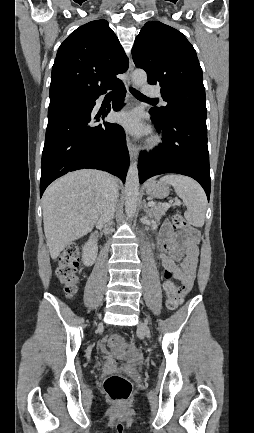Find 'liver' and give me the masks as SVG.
<instances>
[{
    "instance_id": "obj_1",
    "label": "liver",
    "mask_w": 254,
    "mask_h": 433,
    "mask_svg": "<svg viewBox=\"0 0 254 433\" xmlns=\"http://www.w3.org/2000/svg\"><path fill=\"white\" fill-rule=\"evenodd\" d=\"M106 193V174L91 169L68 173L47 188L43 222L52 259L93 229L102 215Z\"/></svg>"
}]
</instances>
